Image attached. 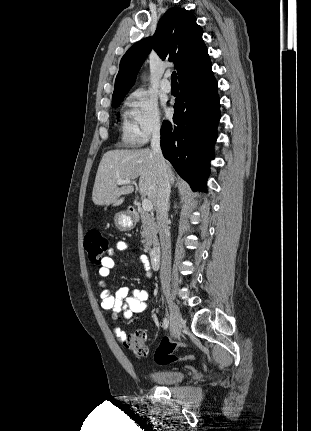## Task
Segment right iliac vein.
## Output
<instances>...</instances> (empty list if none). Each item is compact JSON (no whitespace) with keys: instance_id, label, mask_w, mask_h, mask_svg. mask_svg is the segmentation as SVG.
I'll list each match as a JSON object with an SVG mask.
<instances>
[{"instance_id":"63e3f726","label":"right iliac vein","mask_w":311,"mask_h":431,"mask_svg":"<svg viewBox=\"0 0 311 431\" xmlns=\"http://www.w3.org/2000/svg\"><path fill=\"white\" fill-rule=\"evenodd\" d=\"M169 309H170V326H171V334L173 337H178L180 335L183 320L181 314L179 312L178 306L171 300V298L166 296Z\"/></svg>"}]
</instances>
